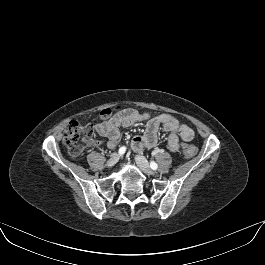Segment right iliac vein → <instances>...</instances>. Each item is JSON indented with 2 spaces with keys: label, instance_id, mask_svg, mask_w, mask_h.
Here are the masks:
<instances>
[{
  "label": "right iliac vein",
  "instance_id": "right-iliac-vein-1",
  "mask_svg": "<svg viewBox=\"0 0 265 265\" xmlns=\"http://www.w3.org/2000/svg\"><path fill=\"white\" fill-rule=\"evenodd\" d=\"M119 157L120 156L117 153L112 154L111 158L107 161L106 166L109 168L114 166L118 162Z\"/></svg>",
  "mask_w": 265,
  "mask_h": 265
}]
</instances>
